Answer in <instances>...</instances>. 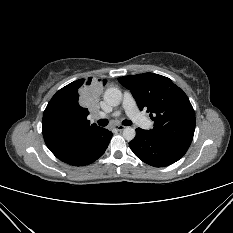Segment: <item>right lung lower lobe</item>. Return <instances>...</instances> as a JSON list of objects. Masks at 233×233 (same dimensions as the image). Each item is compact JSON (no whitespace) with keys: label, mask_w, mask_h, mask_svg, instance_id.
I'll use <instances>...</instances> for the list:
<instances>
[{"label":"right lung lower lobe","mask_w":233,"mask_h":233,"mask_svg":"<svg viewBox=\"0 0 233 233\" xmlns=\"http://www.w3.org/2000/svg\"><path fill=\"white\" fill-rule=\"evenodd\" d=\"M111 137L112 132L106 129L103 136L94 145L85 152L77 155H57L50 147L48 148L61 161L74 166H84L91 164L104 154Z\"/></svg>","instance_id":"98d812e1"}]
</instances>
